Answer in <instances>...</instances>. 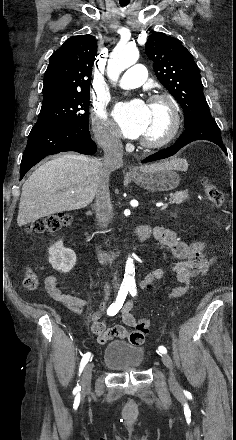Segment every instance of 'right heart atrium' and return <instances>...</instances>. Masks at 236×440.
Returning <instances> with one entry per match:
<instances>
[{
	"mask_svg": "<svg viewBox=\"0 0 236 440\" xmlns=\"http://www.w3.org/2000/svg\"><path fill=\"white\" fill-rule=\"evenodd\" d=\"M93 135L97 143L106 150L115 151L119 146V137L114 124L109 118L106 108L94 105L92 113Z\"/></svg>",
	"mask_w": 236,
	"mask_h": 440,
	"instance_id": "obj_1",
	"label": "right heart atrium"
}]
</instances>
